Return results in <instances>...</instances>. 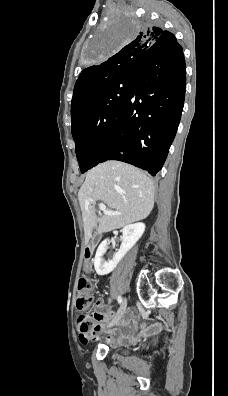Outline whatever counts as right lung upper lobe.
<instances>
[{"mask_svg":"<svg viewBox=\"0 0 228 396\" xmlns=\"http://www.w3.org/2000/svg\"><path fill=\"white\" fill-rule=\"evenodd\" d=\"M172 44H178L173 34L159 27L145 26L133 41L116 54L99 65L84 69L74 87L71 119L108 84L119 78L132 77L148 53L154 50H168Z\"/></svg>","mask_w":228,"mask_h":396,"instance_id":"1","label":"right lung upper lobe"}]
</instances>
